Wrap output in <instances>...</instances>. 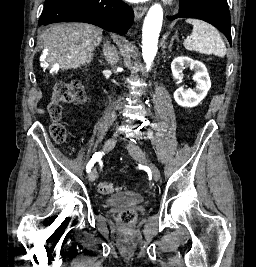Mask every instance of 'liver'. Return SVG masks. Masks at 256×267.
Masks as SVG:
<instances>
[{
    "mask_svg": "<svg viewBox=\"0 0 256 267\" xmlns=\"http://www.w3.org/2000/svg\"><path fill=\"white\" fill-rule=\"evenodd\" d=\"M42 60L52 68L75 70L93 60V52L102 40V30L91 24H53L45 34Z\"/></svg>",
    "mask_w": 256,
    "mask_h": 267,
    "instance_id": "6515ba94",
    "label": "liver"
}]
</instances>
